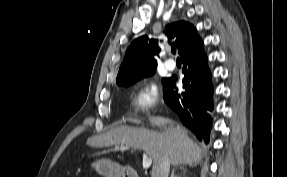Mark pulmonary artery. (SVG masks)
Segmentation results:
<instances>
[{"label":"pulmonary artery","mask_w":287,"mask_h":177,"mask_svg":"<svg viewBox=\"0 0 287 177\" xmlns=\"http://www.w3.org/2000/svg\"><path fill=\"white\" fill-rule=\"evenodd\" d=\"M165 67L168 70L173 71L175 69V67H176V64H175V62L172 59H169V60L166 61Z\"/></svg>","instance_id":"obj_1"}]
</instances>
